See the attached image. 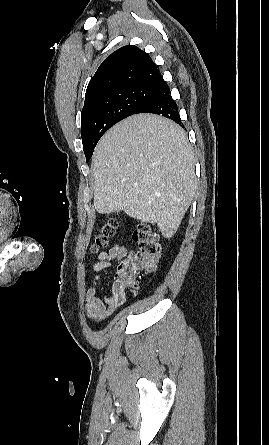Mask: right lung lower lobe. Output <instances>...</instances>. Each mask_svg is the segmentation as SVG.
I'll use <instances>...</instances> for the list:
<instances>
[{
  "mask_svg": "<svg viewBox=\"0 0 269 445\" xmlns=\"http://www.w3.org/2000/svg\"><path fill=\"white\" fill-rule=\"evenodd\" d=\"M157 94L154 98L150 99L147 103L142 105L137 113H154L159 114L169 119H172L176 123H180L181 119L178 114V108L176 102L170 95V89L162 79L160 83L155 86Z\"/></svg>",
  "mask_w": 269,
  "mask_h": 445,
  "instance_id": "98d812e1",
  "label": "right lung lower lobe"
}]
</instances>
